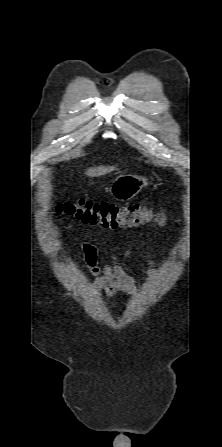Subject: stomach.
I'll return each instance as SVG.
<instances>
[{
	"label": "stomach",
	"instance_id": "obj_1",
	"mask_svg": "<svg viewBox=\"0 0 222 447\" xmlns=\"http://www.w3.org/2000/svg\"><path fill=\"white\" fill-rule=\"evenodd\" d=\"M147 184L146 177L121 174L111 182L109 193L115 200L125 202L135 197Z\"/></svg>",
	"mask_w": 222,
	"mask_h": 447
}]
</instances>
